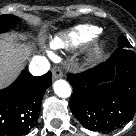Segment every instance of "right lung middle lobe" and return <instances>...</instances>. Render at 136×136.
Wrapping results in <instances>:
<instances>
[{"instance_id": "right-lung-middle-lobe-1", "label": "right lung middle lobe", "mask_w": 136, "mask_h": 136, "mask_svg": "<svg viewBox=\"0 0 136 136\" xmlns=\"http://www.w3.org/2000/svg\"><path fill=\"white\" fill-rule=\"evenodd\" d=\"M18 22V17L14 15H1L0 16V33L6 32Z\"/></svg>"}]
</instances>
